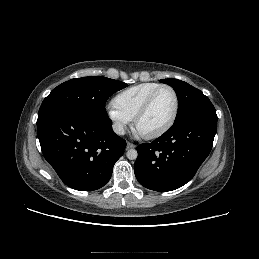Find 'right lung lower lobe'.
I'll use <instances>...</instances> for the list:
<instances>
[{"mask_svg":"<svg viewBox=\"0 0 259 259\" xmlns=\"http://www.w3.org/2000/svg\"><path fill=\"white\" fill-rule=\"evenodd\" d=\"M36 124L45 159L75 190L103 187L126 147L125 140L113 132L108 117L68 108L52 111Z\"/></svg>","mask_w":259,"mask_h":259,"instance_id":"98d812e1","label":"right lung lower lobe"}]
</instances>
